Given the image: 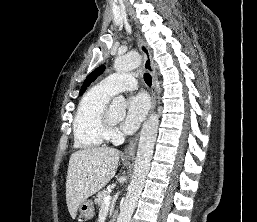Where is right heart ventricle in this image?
Wrapping results in <instances>:
<instances>
[{"label": "right heart ventricle", "mask_w": 257, "mask_h": 222, "mask_svg": "<svg viewBox=\"0 0 257 222\" xmlns=\"http://www.w3.org/2000/svg\"><path fill=\"white\" fill-rule=\"evenodd\" d=\"M111 97L97 86L81 98L73 121L76 147L98 148L108 139L109 132L104 124V114Z\"/></svg>", "instance_id": "e07e8e85"}]
</instances>
